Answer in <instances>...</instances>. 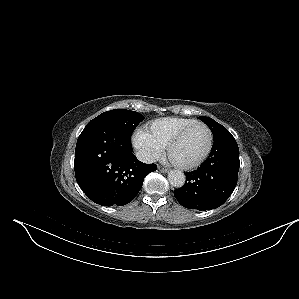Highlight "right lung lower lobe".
Returning a JSON list of instances; mask_svg holds the SVG:
<instances>
[{
  "label": "right lung lower lobe",
  "mask_w": 299,
  "mask_h": 299,
  "mask_svg": "<svg viewBox=\"0 0 299 299\" xmlns=\"http://www.w3.org/2000/svg\"><path fill=\"white\" fill-rule=\"evenodd\" d=\"M131 136L100 121L89 122L75 149V176L83 192L102 206H122L140 191L144 178L157 169L132 153Z\"/></svg>",
  "instance_id": "1"
}]
</instances>
